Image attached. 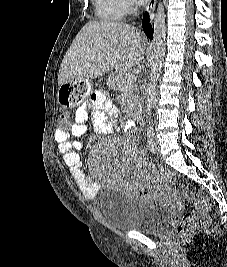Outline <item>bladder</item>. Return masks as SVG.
Segmentation results:
<instances>
[{"label": "bladder", "mask_w": 227, "mask_h": 267, "mask_svg": "<svg viewBox=\"0 0 227 267\" xmlns=\"http://www.w3.org/2000/svg\"><path fill=\"white\" fill-rule=\"evenodd\" d=\"M105 222L120 231L136 230L158 234L174 218V211L155 200H136L115 188H105L100 196Z\"/></svg>", "instance_id": "31cf9c89"}]
</instances>
